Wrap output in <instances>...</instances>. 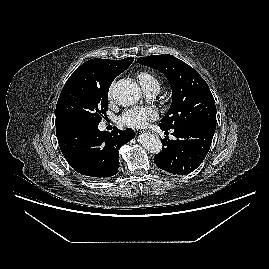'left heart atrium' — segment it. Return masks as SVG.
<instances>
[{
  "label": "left heart atrium",
  "instance_id": "39dd6f15",
  "mask_svg": "<svg viewBox=\"0 0 269 269\" xmlns=\"http://www.w3.org/2000/svg\"><path fill=\"white\" fill-rule=\"evenodd\" d=\"M157 116V111L152 107H134L121 115L120 122L128 127L142 128L149 121L156 119Z\"/></svg>",
  "mask_w": 269,
  "mask_h": 269
}]
</instances>
